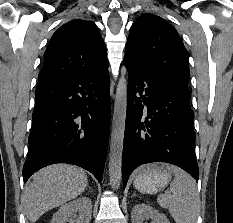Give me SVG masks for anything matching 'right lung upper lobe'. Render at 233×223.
<instances>
[{
    "label": "right lung upper lobe",
    "mask_w": 233,
    "mask_h": 223,
    "mask_svg": "<svg viewBox=\"0 0 233 223\" xmlns=\"http://www.w3.org/2000/svg\"><path fill=\"white\" fill-rule=\"evenodd\" d=\"M38 85L63 81L108 67L106 46L91 21L74 19L52 35Z\"/></svg>",
    "instance_id": "1"
}]
</instances>
